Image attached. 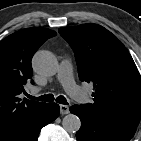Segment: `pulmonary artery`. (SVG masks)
I'll return each instance as SVG.
<instances>
[{
  "label": "pulmonary artery",
  "instance_id": "pulmonary-artery-1",
  "mask_svg": "<svg viewBox=\"0 0 141 141\" xmlns=\"http://www.w3.org/2000/svg\"><path fill=\"white\" fill-rule=\"evenodd\" d=\"M57 78L59 82L63 85L65 91L75 100L79 102H86L88 97L86 93L81 90L75 83L73 79L72 73V64L68 59H64L61 61ZM38 88H34V92H36Z\"/></svg>",
  "mask_w": 141,
  "mask_h": 141
}]
</instances>
